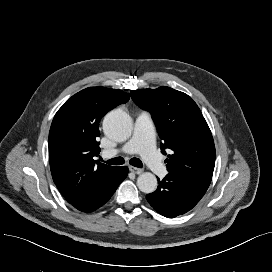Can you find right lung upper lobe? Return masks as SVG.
I'll return each instance as SVG.
<instances>
[{
	"mask_svg": "<svg viewBox=\"0 0 272 272\" xmlns=\"http://www.w3.org/2000/svg\"><path fill=\"white\" fill-rule=\"evenodd\" d=\"M129 98L121 90L89 87L73 95L55 114L49 132L50 169L69 203L91 196L118 172L119 167L95 160L100 152L99 122Z\"/></svg>",
	"mask_w": 272,
	"mask_h": 272,
	"instance_id": "obj_1",
	"label": "right lung upper lobe"
}]
</instances>
